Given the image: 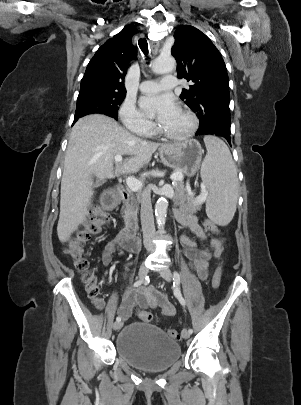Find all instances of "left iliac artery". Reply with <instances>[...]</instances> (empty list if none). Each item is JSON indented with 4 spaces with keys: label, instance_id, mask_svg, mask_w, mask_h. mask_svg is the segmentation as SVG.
<instances>
[{
    "label": "left iliac artery",
    "instance_id": "obj_1",
    "mask_svg": "<svg viewBox=\"0 0 301 405\" xmlns=\"http://www.w3.org/2000/svg\"><path fill=\"white\" fill-rule=\"evenodd\" d=\"M173 287H174V295L177 297V299L179 300L180 304L182 306L186 305V302L181 294L180 291V275L177 271L173 272ZM189 333L191 334L193 332V330L190 328Z\"/></svg>",
    "mask_w": 301,
    "mask_h": 405
}]
</instances>
